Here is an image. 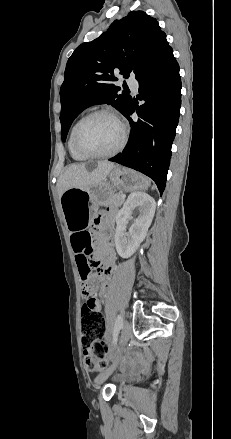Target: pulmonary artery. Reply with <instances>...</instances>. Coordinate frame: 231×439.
Wrapping results in <instances>:
<instances>
[{"mask_svg": "<svg viewBox=\"0 0 231 439\" xmlns=\"http://www.w3.org/2000/svg\"><path fill=\"white\" fill-rule=\"evenodd\" d=\"M127 84L130 88L136 90L138 88V81L134 77H130L127 80Z\"/></svg>", "mask_w": 231, "mask_h": 439, "instance_id": "obj_1", "label": "pulmonary artery"}]
</instances>
